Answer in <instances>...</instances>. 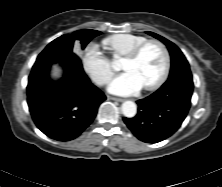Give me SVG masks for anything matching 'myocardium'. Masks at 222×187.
<instances>
[{
    "label": "myocardium",
    "mask_w": 222,
    "mask_h": 187,
    "mask_svg": "<svg viewBox=\"0 0 222 187\" xmlns=\"http://www.w3.org/2000/svg\"><path fill=\"white\" fill-rule=\"evenodd\" d=\"M149 45L158 46L162 50L163 55H164L163 70H162L160 76L158 77V79L151 84L143 86V89H145V90H154V89H157L158 87H160L165 82V80L167 79V77L169 75V71H170V67H171V55H170V52H169L168 48L166 47V45L159 40H155V39L146 40L145 42L138 45L135 49H133L128 55H126L124 60H128V61L137 60L140 57V55L142 54L143 50Z\"/></svg>",
    "instance_id": "myocardium-1"
}]
</instances>
